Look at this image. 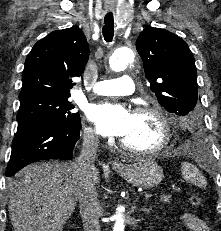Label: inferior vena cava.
<instances>
[{
  "label": "inferior vena cava",
  "mask_w": 221,
  "mask_h": 231,
  "mask_svg": "<svg viewBox=\"0 0 221 231\" xmlns=\"http://www.w3.org/2000/svg\"><path fill=\"white\" fill-rule=\"evenodd\" d=\"M98 144V135L93 130H86L81 153L74 162L84 231H101L99 223L101 207L95 187L97 169L94 166Z\"/></svg>",
  "instance_id": "obj_1"
}]
</instances>
